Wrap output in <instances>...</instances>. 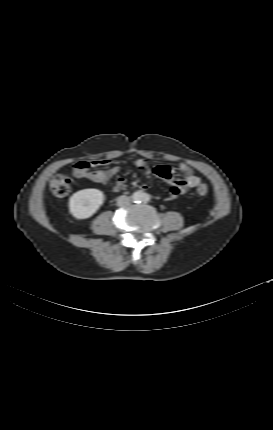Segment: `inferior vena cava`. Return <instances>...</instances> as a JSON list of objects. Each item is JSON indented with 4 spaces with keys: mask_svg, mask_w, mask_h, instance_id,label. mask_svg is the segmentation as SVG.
Returning <instances> with one entry per match:
<instances>
[{
    "mask_svg": "<svg viewBox=\"0 0 273 430\" xmlns=\"http://www.w3.org/2000/svg\"><path fill=\"white\" fill-rule=\"evenodd\" d=\"M129 204H130V198L129 197L122 195V196H119L117 198V205L118 206H127Z\"/></svg>",
    "mask_w": 273,
    "mask_h": 430,
    "instance_id": "obj_1",
    "label": "inferior vena cava"
}]
</instances>
